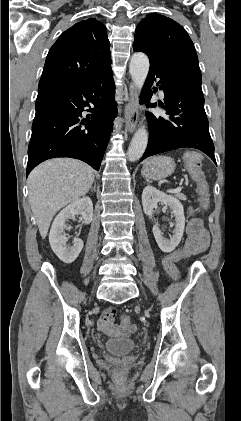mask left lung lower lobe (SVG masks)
Returning <instances> with one entry per match:
<instances>
[{"instance_id":"1","label":"left lung lower lobe","mask_w":241,"mask_h":421,"mask_svg":"<svg viewBox=\"0 0 241 421\" xmlns=\"http://www.w3.org/2000/svg\"><path fill=\"white\" fill-rule=\"evenodd\" d=\"M134 51H139L133 49ZM156 78L157 86L164 91V104L158 105L166 110L165 117L147 113L150 138L147 149L140 161L149 156L166 151L190 147L207 154L216 164L214 145L208 129V119L204 110V96L201 76L150 61V70L144 85L148 107L152 97V85ZM154 91L157 88L153 87Z\"/></svg>"}]
</instances>
